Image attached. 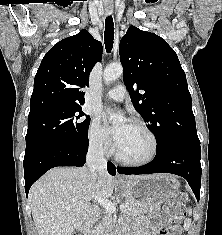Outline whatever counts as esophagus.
Returning a JSON list of instances; mask_svg holds the SVG:
<instances>
[{
    "mask_svg": "<svg viewBox=\"0 0 222 235\" xmlns=\"http://www.w3.org/2000/svg\"><path fill=\"white\" fill-rule=\"evenodd\" d=\"M106 13H107V14H110V13H111V10H110V9H107V10H106ZM116 180H117V181H122L123 178H122L120 175L117 174V175H116Z\"/></svg>",
    "mask_w": 222,
    "mask_h": 235,
    "instance_id": "34e87169",
    "label": "esophagus"
}]
</instances>
